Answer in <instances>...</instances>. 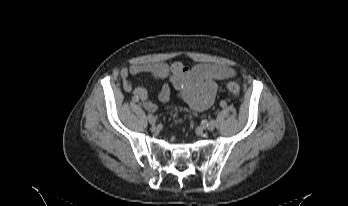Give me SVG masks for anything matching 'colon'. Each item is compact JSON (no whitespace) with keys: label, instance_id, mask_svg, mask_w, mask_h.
I'll use <instances>...</instances> for the list:
<instances>
[{"label":"colon","instance_id":"obj_1","mask_svg":"<svg viewBox=\"0 0 348 206\" xmlns=\"http://www.w3.org/2000/svg\"><path fill=\"white\" fill-rule=\"evenodd\" d=\"M226 89L234 98L238 97L240 94V85L235 81H227Z\"/></svg>","mask_w":348,"mask_h":206}]
</instances>
